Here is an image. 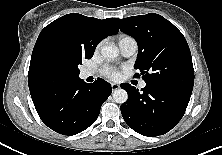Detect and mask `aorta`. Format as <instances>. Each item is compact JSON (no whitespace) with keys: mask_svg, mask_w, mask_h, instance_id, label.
Instances as JSON below:
<instances>
[{"mask_svg":"<svg viewBox=\"0 0 222 155\" xmlns=\"http://www.w3.org/2000/svg\"><path fill=\"white\" fill-rule=\"evenodd\" d=\"M101 54L104 58L111 60L119 55V50L115 46H103L101 48ZM127 98L128 94L124 89L119 88L113 92V100L116 103H125L127 101Z\"/></svg>","mask_w":222,"mask_h":155,"instance_id":"1","label":"aorta"}]
</instances>
